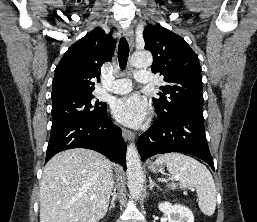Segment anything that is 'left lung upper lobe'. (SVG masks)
Listing matches in <instances>:
<instances>
[{
  "instance_id": "1",
  "label": "left lung upper lobe",
  "mask_w": 257,
  "mask_h": 222,
  "mask_svg": "<svg viewBox=\"0 0 257 222\" xmlns=\"http://www.w3.org/2000/svg\"><path fill=\"white\" fill-rule=\"evenodd\" d=\"M145 49L153 54L151 70L164 76L165 86L157 98L155 109L173 116L197 114L203 116L201 67L196 53L179 35L160 25L144 29Z\"/></svg>"
}]
</instances>
